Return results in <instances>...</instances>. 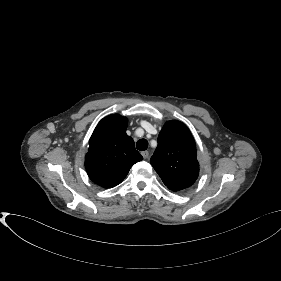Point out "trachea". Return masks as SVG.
<instances>
[{
  "label": "trachea",
  "mask_w": 281,
  "mask_h": 281,
  "mask_svg": "<svg viewBox=\"0 0 281 281\" xmlns=\"http://www.w3.org/2000/svg\"><path fill=\"white\" fill-rule=\"evenodd\" d=\"M136 147L138 150L144 151L148 148V141L146 139H140L137 142Z\"/></svg>",
  "instance_id": "3493384b"
}]
</instances>
